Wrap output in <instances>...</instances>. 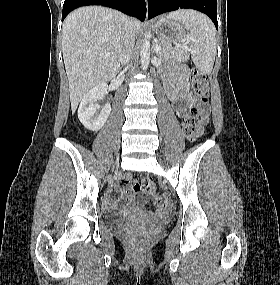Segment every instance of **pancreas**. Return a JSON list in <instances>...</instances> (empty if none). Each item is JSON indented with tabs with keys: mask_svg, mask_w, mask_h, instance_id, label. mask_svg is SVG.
Wrapping results in <instances>:
<instances>
[{
	"mask_svg": "<svg viewBox=\"0 0 280 285\" xmlns=\"http://www.w3.org/2000/svg\"><path fill=\"white\" fill-rule=\"evenodd\" d=\"M156 46H160L162 50L158 52V57L162 60L174 59L180 62L189 60V53L186 47L173 46L171 42L159 38Z\"/></svg>",
	"mask_w": 280,
	"mask_h": 285,
	"instance_id": "cf45deb5",
	"label": "pancreas"
}]
</instances>
